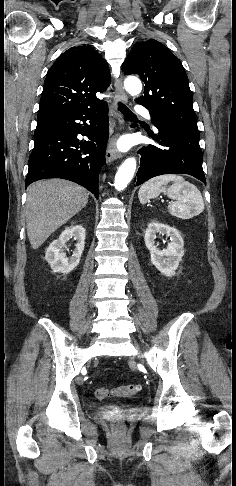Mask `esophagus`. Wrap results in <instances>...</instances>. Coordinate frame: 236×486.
Masks as SVG:
<instances>
[{
    "label": "esophagus",
    "mask_w": 236,
    "mask_h": 486,
    "mask_svg": "<svg viewBox=\"0 0 236 486\" xmlns=\"http://www.w3.org/2000/svg\"><path fill=\"white\" fill-rule=\"evenodd\" d=\"M114 87H115L116 100H115L112 108H113L114 114L116 116H119V113L117 111V102L121 101V102L126 103L128 101V97L124 92L120 78H115ZM115 142H116V136L113 135L109 140L107 150H106V161H107V163H111V162H113L114 160H116L117 158L120 157V154H119V152L116 148Z\"/></svg>",
    "instance_id": "34e87169"
}]
</instances>
